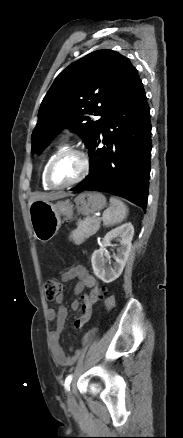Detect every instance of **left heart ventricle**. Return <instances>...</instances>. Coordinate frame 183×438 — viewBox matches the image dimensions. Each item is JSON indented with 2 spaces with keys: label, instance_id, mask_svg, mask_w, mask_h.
Listing matches in <instances>:
<instances>
[{
  "label": "left heart ventricle",
  "instance_id": "obj_1",
  "mask_svg": "<svg viewBox=\"0 0 183 438\" xmlns=\"http://www.w3.org/2000/svg\"><path fill=\"white\" fill-rule=\"evenodd\" d=\"M82 168L81 160L76 155H67L59 159L51 171V180L55 184H66L74 180Z\"/></svg>",
  "mask_w": 183,
  "mask_h": 438
}]
</instances>
